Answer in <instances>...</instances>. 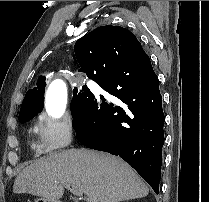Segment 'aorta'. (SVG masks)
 Returning <instances> with one entry per match:
<instances>
[{"label": "aorta", "mask_w": 209, "mask_h": 202, "mask_svg": "<svg viewBox=\"0 0 209 202\" xmlns=\"http://www.w3.org/2000/svg\"><path fill=\"white\" fill-rule=\"evenodd\" d=\"M66 94V85L62 80H55L48 87L45 106L51 117L59 118L63 115L66 107Z\"/></svg>", "instance_id": "1"}]
</instances>
